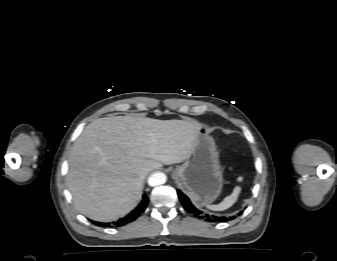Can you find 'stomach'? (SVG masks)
Returning <instances> with one entry per match:
<instances>
[{
  "mask_svg": "<svg viewBox=\"0 0 337 261\" xmlns=\"http://www.w3.org/2000/svg\"><path fill=\"white\" fill-rule=\"evenodd\" d=\"M180 188L197 204H210L221 193L223 175L213 138L201 127L185 162L173 172Z\"/></svg>",
  "mask_w": 337,
  "mask_h": 261,
  "instance_id": "0dacf381",
  "label": "stomach"
}]
</instances>
